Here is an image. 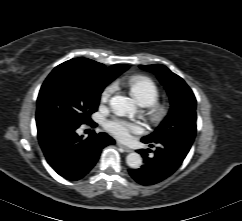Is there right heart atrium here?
<instances>
[{
  "mask_svg": "<svg viewBox=\"0 0 242 221\" xmlns=\"http://www.w3.org/2000/svg\"><path fill=\"white\" fill-rule=\"evenodd\" d=\"M116 90H117L116 84L111 83V84L107 85L103 89L102 94H101L102 102H107L110 99V97L116 92Z\"/></svg>",
  "mask_w": 242,
  "mask_h": 221,
  "instance_id": "d8ad5b80",
  "label": "right heart atrium"
}]
</instances>
